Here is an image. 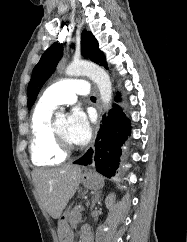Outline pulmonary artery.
Instances as JSON below:
<instances>
[{
    "label": "pulmonary artery",
    "mask_w": 187,
    "mask_h": 242,
    "mask_svg": "<svg viewBox=\"0 0 187 242\" xmlns=\"http://www.w3.org/2000/svg\"><path fill=\"white\" fill-rule=\"evenodd\" d=\"M89 84L82 79H64L50 85L43 93L40 101L56 107L62 104H73L77 95L87 96Z\"/></svg>",
    "instance_id": "e3ab8cb5"
}]
</instances>
